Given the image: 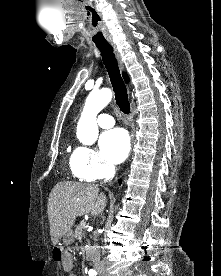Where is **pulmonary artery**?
Masks as SVG:
<instances>
[{
  "label": "pulmonary artery",
  "mask_w": 221,
  "mask_h": 276,
  "mask_svg": "<svg viewBox=\"0 0 221 276\" xmlns=\"http://www.w3.org/2000/svg\"><path fill=\"white\" fill-rule=\"evenodd\" d=\"M97 123L102 128H110L114 126V119L107 114H100L97 118Z\"/></svg>",
  "instance_id": "e3ab8cb5"
}]
</instances>
